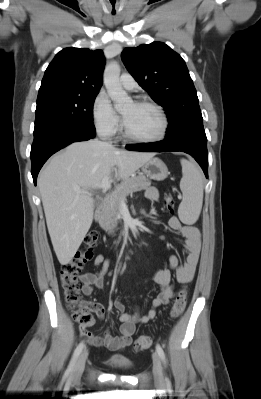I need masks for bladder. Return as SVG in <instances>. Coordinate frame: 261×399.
I'll return each mask as SVG.
<instances>
[{
  "label": "bladder",
  "mask_w": 261,
  "mask_h": 399,
  "mask_svg": "<svg viewBox=\"0 0 261 399\" xmlns=\"http://www.w3.org/2000/svg\"><path fill=\"white\" fill-rule=\"evenodd\" d=\"M106 364L116 369L127 370L132 367L131 361L125 358L110 356L106 359Z\"/></svg>",
  "instance_id": "obj_1"
}]
</instances>
